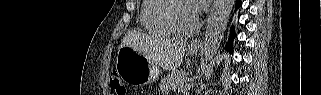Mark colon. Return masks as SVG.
Here are the masks:
<instances>
[{"label": "colon", "mask_w": 321, "mask_h": 95, "mask_svg": "<svg viewBox=\"0 0 321 95\" xmlns=\"http://www.w3.org/2000/svg\"><path fill=\"white\" fill-rule=\"evenodd\" d=\"M110 85L112 90L118 95L126 94V87L116 73L110 76Z\"/></svg>", "instance_id": "obj_1"}]
</instances>
